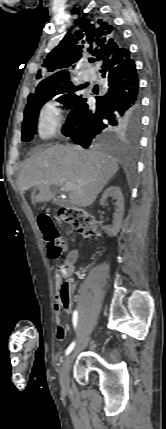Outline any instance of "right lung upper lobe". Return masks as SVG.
Segmentation results:
<instances>
[{"instance_id":"right-lung-upper-lobe-1","label":"right lung upper lobe","mask_w":166,"mask_h":429,"mask_svg":"<svg viewBox=\"0 0 166 429\" xmlns=\"http://www.w3.org/2000/svg\"><path fill=\"white\" fill-rule=\"evenodd\" d=\"M81 31L67 34L62 41L46 57L42 69L37 73V79H42L38 85H52L69 79L66 68L77 62L83 54L92 52L98 61L116 57L124 49L118 40L110 35V26L94 27L91 24L81 25Z\"/></svg>"}]
</instances>
